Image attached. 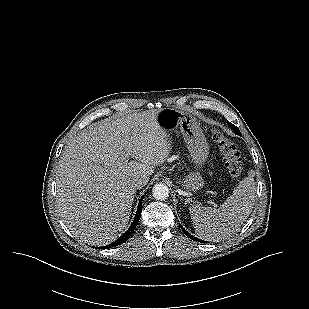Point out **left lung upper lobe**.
Returning a JSON list of instances; mask_svg holds the SVG:
<instances>
[{
	"label": "left lung upper lobe",
	"mask_w": 309,
	"mask_h": 309,
	"mask_svg": "<svg viewBox=\"0 0 309 309\" xmlns=\"http://www.w3.org/2000/svg\"><path fill=\"white\" fill-rule=\"evenodd\" d=\"M227 123H228L229 127H230L231 129H233V131H234L236 134L241 135L239 129H238L235 125H233V124L230 123L229 121H227Z\"/></svg>",
	"instance_id": "left-lung-upper-lobe-1"
}]
</instances>
